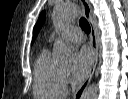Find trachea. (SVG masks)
Segmentation results:
<instances>
[{
  "mask_svg": "<svg viewBox=\"0 0 128 99\" xmlns=\"http://www.w3.org/2000/svg\"><path fill=\"white\" fill-rule=\"evenodd\" d=\"M80 27L85 33L87 34L90 33V30H91L90 25L84 17H81L80 19Z\"/></svg>",
  "mask_w": 128,
  "mask_h": 99,
  "instance_id": "obj_1",
  "label": "trachea"
}]
</instances>
